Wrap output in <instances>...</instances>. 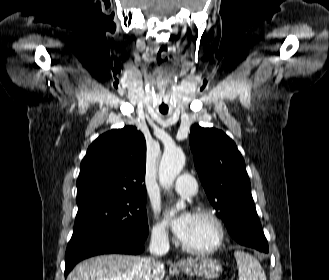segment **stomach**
Here are the masks:
<instances>
[{
  "label": "stomach",
  "instance_id": "stomach-1",
  "mask_svg": "<svg viewBox=\"0 0 329 280\" xmlns=\"http://www.w3.org/2000/svg\"><path fill=\"white\" fill-rule=\"evenodd\" d=\"M181 270L191 276L214 279L222 272V265L209 258L191 261L188 265H181Z\"/></svg>",
  "mask_w": 329,
  "mask_h": 280
}]
</instances>
